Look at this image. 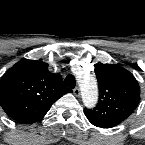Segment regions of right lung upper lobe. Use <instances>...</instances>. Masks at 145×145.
<instances>
[{"label":"right lung upper lobe","mask_w":145,"mask_h":145,"mask_svg":"<svg viewBox=\"0 0 145 145\" xmlns=\"http://www.w3.org/2000/svg\"><path fill=\"white\" fill-rule=\"evenodd\" d=\"M71 92L60 74L48 71V64L21 60L0 80V105L6 114L20 123L41 120L52 104Z\"/></svg>","instance_id":"right-lung-upper-lobe-1"}]
</instances>
